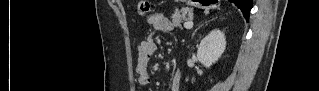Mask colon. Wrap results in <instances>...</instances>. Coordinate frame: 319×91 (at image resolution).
Instances as JSON below:
<instances>
[{
  "label": "colon",
  "instance_id": "1",
  "mask_svg": "<svg viewBox=\"0 0 319 91\" xmlns=\"http://www.w3.org/2000/svg\"><path fill=\"white\" fill-rule=\"evenodd\" d=\"M150 11L149 1H139L138 2V13L141 16L147 15Z\"/></svg>",
  "mask_w": 319,
  "mask_h": 91
}]
</instances>
